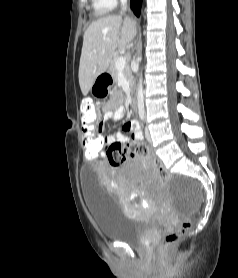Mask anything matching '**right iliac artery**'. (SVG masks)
<instances>
[{"mask_svg":"<svg viewBox=\"0 0 238 278\" xmlns=\"http://www.w3.org/2000/svg\"><path fill=\"white\" fill-rule=\"evenodd\" d=\"M140 119H141L142 121L144 120V114H143V113L140 114Z\"/></svg>","mask_w":238,"mask_h":278,"instance_id":"1","label":"right iliac artery"}]
</instances>
